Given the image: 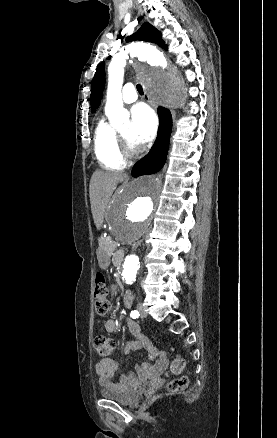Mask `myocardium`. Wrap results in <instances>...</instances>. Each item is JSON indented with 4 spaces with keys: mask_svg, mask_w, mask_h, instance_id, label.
I'll list each match as a JSON object with an SVG mask.
<instances>
[{
    "mask_svg": "<svg viewBox=\"0 0 277 438\" xmlns=\"http://www.w3.org/2000/svg\"><path fill=\"white\" fill-rule=\"evenodd\" d=\"M117 142L120 146L123 156L132 157L137 153L136 149L133 148L132 145L128 142V140L119 132L117 133Z\"/></svg>",
    "mask_w": 277,
    "mask_h": 438,
    "instance_id": "myocardium-1",
    "label": "myocardium"
}]
</instances>
